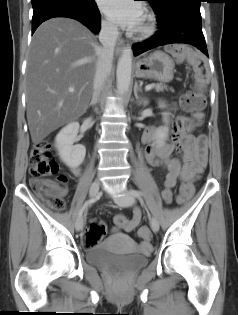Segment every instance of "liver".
Returning <instances> with one entry per match:
<instances>
[{
    "mask_svg": "<svg viewBox=\"0 0 238 315\" xmlns=\"http://www.w3.org/2000/svg\"><path fill=\"white\" fill-rule=\"evenodd\" d=\"M100 49L89 29L73 19L52 18L35 31L26 70L27 121L35 145L86 112Z\"/></svg>",
    "mask_w": 238,
    "mask_h": 315,
    "instance_id": "liver-1",
    "label": "liver"
}]
</instances>
